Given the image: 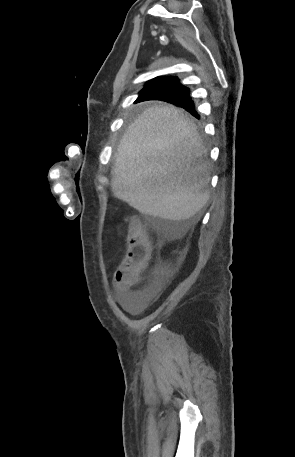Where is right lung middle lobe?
<instances>
[{
    "mask_svg": "<svg viewBox=\"0 0 295 457\" xmlns=\"http://www.w3.org/2000/svg\"><path fill=\"white\" fill-rule=\"evenodd\" d=\"M158 92V97L157 99L160 100H165L171 97L178 96L180 93L178 91L172 90V89H161Z\"/></svg>",
    "mask_w": 295,
    "mask_h": 457,
    "instance_id": "right-lung-middle-lobe-1",
    "label": "right lung middle lobe"
}]
</instances>
